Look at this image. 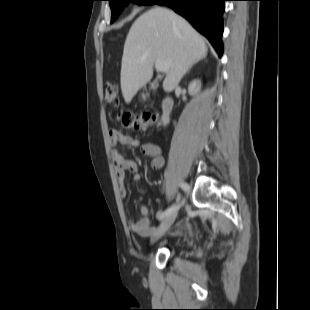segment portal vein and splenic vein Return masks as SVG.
<instances>
[{
    "label": "portal vein and splenic vein",
    "instance_id": "portal-vein-and-splenic-vein-1",
    "mask_svg": "<svg viewBox=\"0 0 310 310\" xmlns=\"http://www.w3.org/2000/svg\"><path fill=\"white\" fill-rule=\"evenodd\" d=\"M170 63L166 61H156L155 68L158 72H167L169 69Z\"/></svg>",
    "mask_w": 310,
    "mask_h": 310
}]
</instances>
